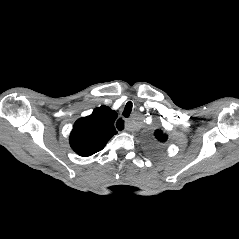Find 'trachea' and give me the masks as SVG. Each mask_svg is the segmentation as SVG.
<instances>
[{"instance_id": "1", "label": "trachea", "mask_w": 239, "mask_h": 239, "mask_svg": "<svg viewBox=\"0 0 239 239\" xmlns=\"http://www.w3.org/2000/svg\"><path fill=\"white\" fill-rule=\"evenodd\" d=\"M133 104L132 102H128L125 106V109L123 111V116L124 117H129L131 111H132Z\"/></svg>"}]
</instances>
